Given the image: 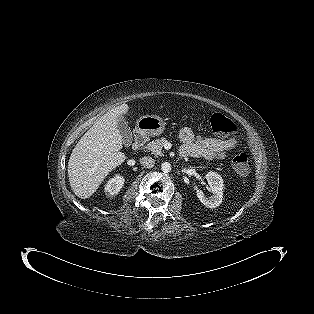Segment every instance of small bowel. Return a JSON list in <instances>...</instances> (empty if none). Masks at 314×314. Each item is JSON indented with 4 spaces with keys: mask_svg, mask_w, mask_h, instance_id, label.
I'll use <instances>...</instances> for the list:
<instances>
[{
    "mask_svg": "<svg viewBox=\"0 0 314 314\" xmlns=\"http://www.w3.org/2000/svg\"><path fill=\"white\" fill-rule=\"evenodd\" d=\"M179 137L183 142L181 156L205 158L208 160L224 159L237 145L235 138L219 139L196 135L190 128L182 127Z\"/></svg>",
    "mask_w": 314,
    "mask_h": 314,
    "instance_id": "c3829d8e",
    "label": "small bowel"
}]
</instances>
